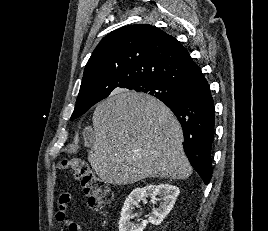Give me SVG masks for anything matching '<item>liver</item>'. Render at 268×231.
Segmentation results:
<instances>
[{"label": "liver", "instance_id": "6515ba94", "mask_svg": "<svg viewBox=\"0 0 268 231\" xmlns=\"http://www.w3.org/2000/svg\"><path fill=\"white\" fill-rule=\"evenodd\" d=\"M88 161L102 182L133 184L146 178L185 179L192 167L172 111L156 98L118 90L93 113Z\"/></svg>", "mask_w": 268, "mask_h": 231}]
</instances>
